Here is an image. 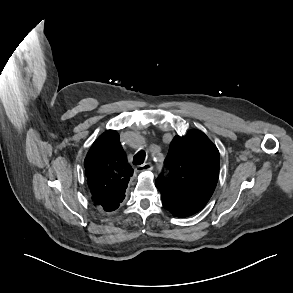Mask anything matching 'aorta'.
<instances>
[{"label":"aorta","instance_id":"aorta-1","mask_svg":"<svg viewBox=\"0 0 293 293\" xmlns=\"http://www.w3.org/2000/svg\"><path fill=\"white\" fill-rule=\"evenodd\" d=\"M154 159H155V164L157 166L158 172H161L163 169V163L159 162L156 158H154Z\"/></svg>","mask_w":293,"mask_h":293}]
</instances>
